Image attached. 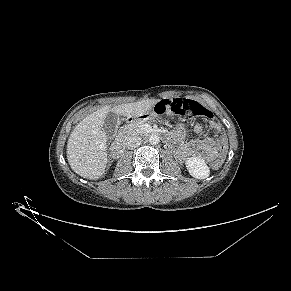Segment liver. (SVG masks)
Wrapping results in <instances>:
<instances>
[{"mask_svg":"<svg viewBox=\"0 0 291 291\" xmlns=\"http://www.w3.org/2000/svg\"><path fill=\"white\" fill-rule=\"evenodd\" d=\"M158 101L147 99L113 108L108 105L86 116L75 126L68 139L67 159L71 169L91 180L101 177L107 165V134L103 130L106 114L112 111L136 118L150 111Z\"/></svg>","mask_w":291,"mask_h":291,"instance_id":"liver-1","label":"liver"}]
</instances>
